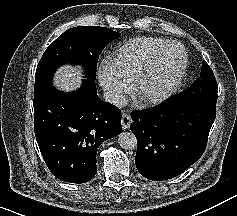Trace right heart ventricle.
<instances>
[{"mask_svg": "<svg viewBox=\"0 0 237 216\" xmlns=\"http://www.w3.org/2000/svg\"><path fill=\"white\" fill-rule=\"evenodd\" d=\"M162 39L138 35L130 38L114 54L108 56V68L113 75L124 81L126 75L137 73V70L152 62L158 53L156 43Z\"/></svg>", "mask_w": 237, "mask_h": 216, "instance_id": "e07e8e85", "label": "right heart ventricle"}]
</instances>
